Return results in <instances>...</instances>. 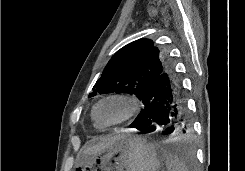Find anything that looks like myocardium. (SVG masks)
<instances>
[{
    "label": "myocardium",
    "instance_id": "myocardium-1",
    "mask_svg": "<svg viewBox=\"0 0 245 171\" xmlns=\"http://www.w3.org/2000/svg\"><path fill=\"white\" fill-rule=\"evenodd\" d=\"M108 100H119L121 102H123L126 105V112L125 114L118 120L113 121V122H104L102 120L99 119L98 115H97V110L98 107L105 101ZM140 108V102L138 100V98L134 95L131 94H127V93H114V94H109L107 96H104L103 98H101L94 106L93 108V118L94 120L100 124L101 126L104 127H111V126H116L122 123L127 122L128 120H130L132 117L135 116V114L139 111Z\"/></svg>",
    "mask_w": 245,
    "mask_h": 171
}]
</instances>
